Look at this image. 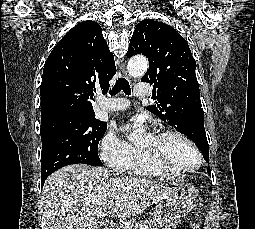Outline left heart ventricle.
Returning a JSON list of instances; mask_svg holds the SVG:
<instances>
[{
    "instance_id": "left-heart-ventricle-1",
    "label": "left heart ventricle",
    "mask_w": 255,
    "mask_h": 229,
    "mask_svg": "<svg viewBox=\"0 0 255 229\" xmlns=\"http://www.w3.org/2000/svg\"><path fill=\"white\" fill-rule=\"evenodd\" d=\"M139 147L152 153L165 165L176 169L191 167L197 162V155L192 147L176 136H145Z\"/></svg>"
}]
</instances>
